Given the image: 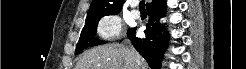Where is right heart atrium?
Here are the masks:
<instances>
[{
	"mask_svg": "<svg viewBox=\"0 0 246 69\" xmlns=\"http://www.w3.org/2000/svg\"><path fill=\"white\" fill-rule=\"evenodd\" d=\"M121 22L117 16H104L97 25V33L104 39H112L120 35Z\"/></svg>",
	"mask_w": 246,
	"mask_h": 69,
	"instance_id": "obj_1",
	"label": "right heart atrium"
}]
</instances>
